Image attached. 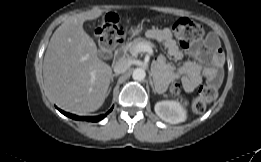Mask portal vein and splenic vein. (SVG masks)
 Segmentation results:
<instances>
[{
  "mask_svg": "<svg viewBox=\"0 0 261 162\" xmlns=\"http://www.w3.org/2000/svg\"><path fill=\"white\" fill-rule=\"evenodd\" d=\"M140 52H147L149 55H152L153 50H152L151 46L148 44H139L136 47L135 54L140 53Z\"/></svg>",
  "mask_w": 261,
  "mask_h": 162,
  "instance_id": "obj_1",
  "label": "portal vein and splenic vein"
}]
</instances>
